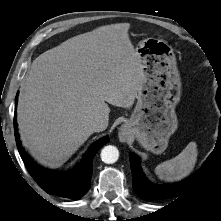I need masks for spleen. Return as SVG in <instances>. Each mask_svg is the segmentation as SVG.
Here are the masks:
<instances>
[{
    "instance_id": "1",
    "label": "spleen",
    "mask_w": 221,
    "mask_h": 221,
    "mask_svg": "<svg viewBox=\"0 0 221 221\" xmlns=\"http://www.w3.org/2000/svg\"><path fill=\"white\" fill-rule=\"evenodd\" d=\"M197 155L196 143L190 142L179 155L157 165L155 173L161 180L168 182L181 180L193 171Z\"/></svg>"
}]
</instances>
